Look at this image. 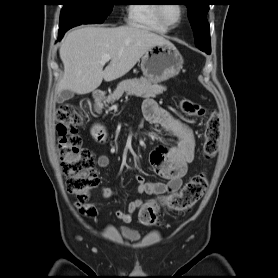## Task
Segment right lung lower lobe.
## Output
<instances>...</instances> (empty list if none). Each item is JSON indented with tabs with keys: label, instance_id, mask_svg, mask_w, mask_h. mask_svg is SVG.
<instances>
[{
	"label": "right lung lower lobe",
	"instance_id": "right-lung-lower-lobe-1",
	"mask_svg": "<svg viewBox=\"0 0 278 278\" xmlns=\"http://www.w3.org/2000/svg\"><path fill=\"white\" fill-rule=\"evenodd\" d=\"M65 32H66L65 30H59L58 40H60L62 38V36Z\"/></svg>",
	"mask_w": 278,
	"mask_h": 278
}]
</instances>
